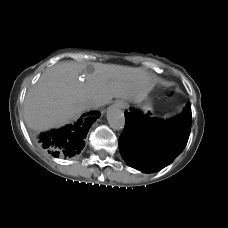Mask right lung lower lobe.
I'll list each match as a JSON object with an SVG mask.
<instances>
[{"label": "right lung lower lobe", "instance_id": "1", "mask_svg": "<svg viewBox=\"0 0 228 228\" xmlns=\"http://www.w3.org/2000/svg\"><path fill=\"white\" fill-rule=\"evenodd\" d=\"M99 117L100 112L90 111L70 125L36 135L35 140L54 157H72L83 149L89 128Z\"/></svg>", "mask_w": 228, "mask_h": 228}]
</instances>
